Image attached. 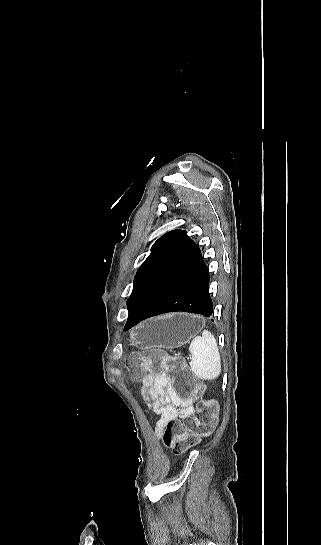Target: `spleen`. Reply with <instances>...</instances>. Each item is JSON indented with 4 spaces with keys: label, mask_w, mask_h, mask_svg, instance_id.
<instances>
[{
    "label": "spleen",
    "mask_w": 321,
    "mask_h": 545,
    "mask_svg": "<svg viewBox=\"0 0 321 545\" xmlns=\"http://www.w3.org/2000/svg\"><path fill=\"white\" fill-rule=\"evenodd\" d=\"M189 351L192 357L191 371L196 377L203 381H213L220 375L221 357L217 341L208 329L203 331L202 337H194Z\"/></svg>",
    "instance_id": "3e777b00"
}]
</instances>
